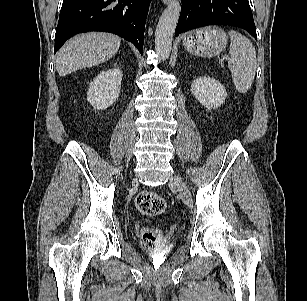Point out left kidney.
<instances>
[{
    "label": "left kidney",
    "mask_w": 307,
    "mask_h": 301,
    "mask_svg": "<svg viewBox=\"0 0 307 301\" xmlns=\"http://www.w3.org/2000/svg\"><path fill=\"white\" fill-rule=\"evenodd\" d=\"M191 93L208 110L221 106L227 97L225 87L218 80L207 75L193 81Z\"/></svg>",
    "instance_id": "1"
}]
</instances>
